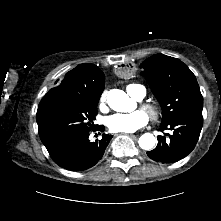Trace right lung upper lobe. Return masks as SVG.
Listing matches in <instances>:
<instances>
[{
    "label": "right lung upper lobe",
    "instance_id": "right-lung-upper-lobe-1",
    "mask_svg": "<svg viewBox=\"0 0 221 221\" xmlns=\"http://www.w3.org/2000/svg\"><path fill=\"white\" fill-rule=\"evenodd\" d=\"M105 76L93 64H80L68 73L64 80L42 98L41 104L51 99L88 101L100 98L104 89Z\"/></svg>",
    "mask_w": 221,
    "mask_h": 221
}]
</instances>
